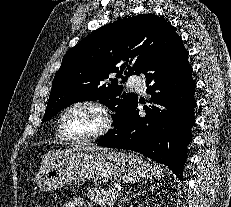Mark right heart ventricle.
Masks as SVG:
<instances>
[{
	"mask_svg": "<svg viewBox=\"0 0 231 207\" xmlns=\"http://www.w3.org/2000/svg\"><path fill=\"white\" fill-rule=\"evenodd\" d=\"M56 136H57L58 140H59L61 143H66V142H67V141L61 136L60 131H59V127L57 128Z\"/></svg>",
	"mask_w": 231,
	"mask_h": 207,
	"instance_id": "right-heart-ventricle-1",
	"label": "right heart ventricle"
}]
</instances>
